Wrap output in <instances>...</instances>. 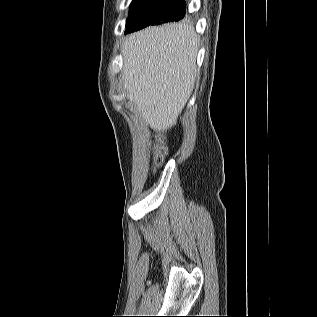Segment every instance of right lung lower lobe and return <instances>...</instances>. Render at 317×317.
Here are the masks:
<instances>
[{
  "mask_svg": "<svg viewBox=\"0 0 317 317\" xmlns=\"http://www.w3.org/2000/svg\"><path fill=\"white\" fill-rule=\"evenodd\" d=\"M180 2H181L182 4H184V2H183L182 0H180Z\"/></svg>",
  "mask_w": 317,
  "mask_h": 317,
  "instance_id": "obj_1",
  "label": "right lung lower lobe"
}]
</instances>
